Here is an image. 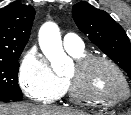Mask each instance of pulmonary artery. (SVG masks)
<instances>
[{
  "label": "pulmonary artery",
  "mask_w": 131,
  "mask_h": 115,
  "mask_svg": "<svg viewBox=\"0 0 131 115\" xmlns=\"http://www.w3.org/2000/svg\"><path fill=\"white\" fill-rule=\"evenodd\" d=\"M63 45L68 52H80L84 50L82 39L72 33H68L64 36Z\"/></svg>",
  "instance_id": "e3ab8cb5"
}]
</instances>
